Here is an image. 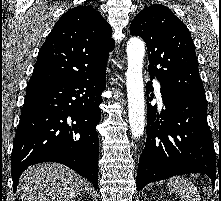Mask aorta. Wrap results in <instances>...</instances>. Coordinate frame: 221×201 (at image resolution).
Segmentation results:
<instances>
[{
	"label": "aorta",
	"mask_w": 221,
	"mask_h": 201,
	"mask_svg": "<svg viewBox=\"0 0 221 201\" xmlns=\"http://www.w3.org/2000/svg\"><path fill=\"white\" fill-rule=\"evenodd\" d=\"M145 46L141 39L131 38L127 43L128 66L126 86L128 98V117L132 138L138 139L145 128V102L142 76Z\"/></svg>",
	"instance_id": "aorta-1"
}]
</instances>
